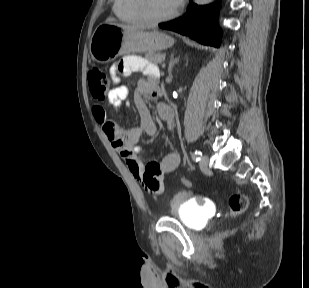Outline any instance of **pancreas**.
<instances>
[{
	"instance_id": "pancreas-1",
	"label": "pancreas",
	"mask_w": 309,
	"mask_h": 288,
	"mask_svg": "<svg viewBox=\"0 0 309 288\" xmlns=\"http://www.w3.org/2000/svg\"><path fill=\"white\" fill-rule=\"evenodd\" d=\"M145 57L151 63L160 64L164 60L165 54H163V53H150V54H147Z\"/></svg>"
}]
</instances>
